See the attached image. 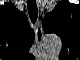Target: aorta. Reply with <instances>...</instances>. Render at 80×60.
Instances as JSON below:
<instances>
[{
  "label": "aorta",
  "mask_w": 80,
  "mask_h": 60,
  "mask_svg": "<svg viewBox=\"0 0 80 60\" xmlns=\"http://www.w3.org/2000/svg\"><path fill=\"white\" fill-rule=\"evenodd\" d=\"M46 50L50 54H59L62 48L61 39L57 35H48L44 39Z\"/></svg>",
  "instance_id": "1"
}]
</instances>
